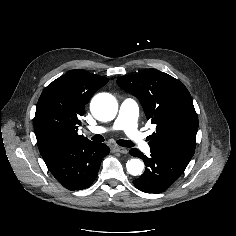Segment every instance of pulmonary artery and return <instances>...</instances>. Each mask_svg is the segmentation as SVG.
I'll return each mask as SVG.
<instances>
[{
	"label": "pulmonary artery",
	"mask_w": 236,
	"mask_h": 236,
	"mask_svg": "<svg viewBox=\"0 0 236 236\" xmlns=\"http://www.w3.org/2000/svg\"><path fill=\"white\" fill-rule=\"evenodd\" d=\"M139 109L133 99H125L119 109L118 116L112 125L113 130H123L130 140L144 152L150 151V146L145 141V136L137 126ZM94 134L106 133L108 129L103 126H94L90 128Z\"/></svg>",
	"instance_id": "e3ab8cb5"
}]
</instances>
